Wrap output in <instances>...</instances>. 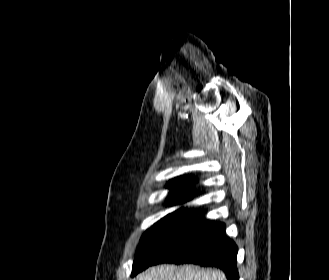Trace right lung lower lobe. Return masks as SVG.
Instances as JSON below:
<instances>
[{"label": "right lung lower lobe", "instance_id": "98d812e1", "mask_svg": "<svg viewBox=\"0 0 329 280\" xmlns=\"http://www.w3.org/2000/svg\"><path fill=\"white\" fill-rule=\"evenodd\" d=\"M237 252L235 243L226 237L225 224L201 216L189 223L149 266L159 263L215 266L225 272L228 280H239Z\"/></svg>", "mask_w": 329, "mask_h": 280}]
</instances>
